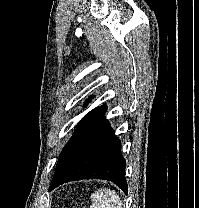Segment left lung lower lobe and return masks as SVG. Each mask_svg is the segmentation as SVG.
Returning <instances> with one entry per match:
<instances>
[{
    "mask_svg": "<svg viewBox=\"0 0 199 208\" xmlns=\"http://www.w3.org/2000/svg\"><path fill=\"white\" fill-rule=\"evenodd\" d=\"M106 109L101 106L78 126L61 151L49 191L65 182L96 178L114 182L127 194L126 161L105 119Z\"/></svg>",
    "mask_w": 199,
    "mask_h": 208,
    "instance_id": "0a47b994",
    "label": "left lung lower lobe"
}]
</instances>
